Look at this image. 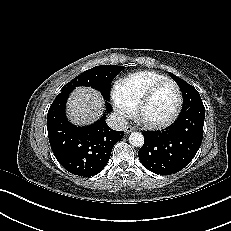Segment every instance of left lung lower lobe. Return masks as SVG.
Returning <instances> with one entry per match:
<instances>
[{"label": "left lung lower lobe", "instance_id": "obj_1", "mask_svg": "<svg viewBox=\"0 0 231 231\" xmlns=\"http://www.w3.org/2000/svg\"><path fill=\"white\" fill-rule=\"evenodd\" d=\"M204 106L180 113L173 125L162 131L142 132L141 163L151 172L170 175L186 167L196 155L203 138Z\"/></svg>", "mask_w": 231, "mask_h": 231}]
</instances>
